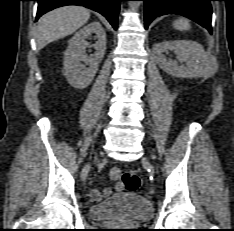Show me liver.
I'll use <instances>...</instances> for the list:
<instances>
[{"label": "liver", "mask_w": 234, "mask_h": 231, "mask_svg": "<svg viewBox=\"0 0 234 231\" xmlns=\"http://www.w3.org/2000/svg\"><path fill=\"white\" fill-rule=\"evenodd\" d=\"M90 18V11L80 6H65L43 15L37 26V48L74 33Z\"/></svg>", "instance_id": "obj_1"}]
</instances>
